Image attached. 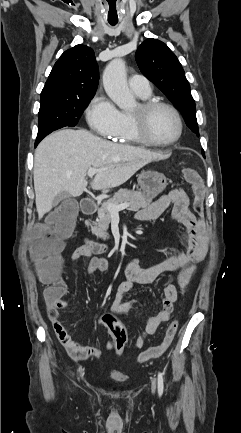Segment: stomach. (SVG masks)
Listing matches in <instances>:
<instances>
[{
    "instance_id": "obj_1",
    "label": "stomach",
    "mask_w": 241,
    "mask_h": 433,
    "mask_svg": "<svg viewBox=\"0 0 241 433\" xmlns=\"http://www.w3.org/2000/svg\"><path fill=\"white\" fill-rule=\"evenodd\" d=\"M138 185L145 196L155 198L167 186V178L157 171H144L138 176Z\"/></svg>"
}]
</instances>
